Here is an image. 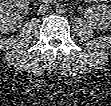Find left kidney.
<instances>
[{"mask_svg":"<svg viewBox=\"0 0 111 106\" xmlns=\"http://www.w3.org/2000/svg\"><path fill=\"white\" fill-rule=\"evenodd\" d=\"M89 14L95 25L99 28H109L111 27V9L107 5H99L89 8Z\"/></svg>","mask_w":111,"mask_h":106,"instance_id":"left-kidney-1","label":"left kidney"}]
</instances>
